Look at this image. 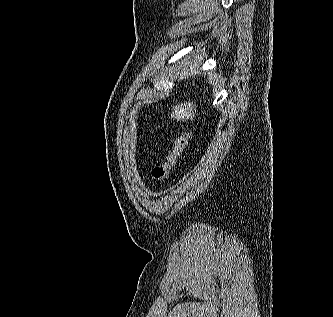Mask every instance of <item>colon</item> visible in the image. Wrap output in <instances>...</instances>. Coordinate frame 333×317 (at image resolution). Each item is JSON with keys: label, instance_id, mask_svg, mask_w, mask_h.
Masks as SVG:
<instances>
[{"label": "colon", "instance_id": "obj_1", "mask_svg": "<svg viewBox=\"0 0 333 317\" xmlns=\"http://www.w3.org/2000/svg\"><path fill=\"white\" fill-rule=\"evenodd\" d=\"M189 140L190 134L188 132H183L176 138L171 150L166 156L165 161L152 169L151 176L154 181L164 182L168 179L172 168L175 166L178 158L185 151Z\"/></svg>", "mask_w": 333, "mask_h": 317}]
</instances>
